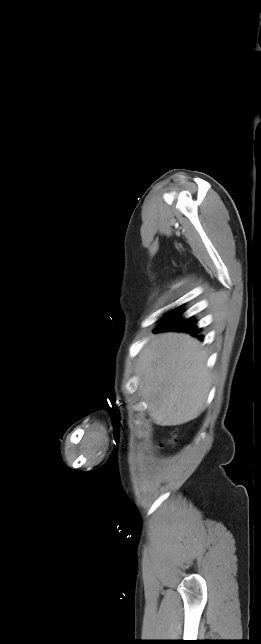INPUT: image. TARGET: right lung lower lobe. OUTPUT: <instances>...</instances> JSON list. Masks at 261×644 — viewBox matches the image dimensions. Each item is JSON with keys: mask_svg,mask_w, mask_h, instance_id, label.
Returning a JSON list of instances; mask_svg holds the SVG:
<instances>
[{"mask_svg": "<svg viewBox=\"0 0 261 644\" xmlns=\"http://www.w3.org/2000/svg\"><path fill=\"white\" fill-rule=\"evenodd\" d=\"M182 312L176 314L172 318L166 320L162 325H160L156 331H178V332H187L191 335H197L198 329L196 326V321L193 318L182 319L180 318ZM202 339L201 336L198 337Z\"/></svg>", "mask_w": 261, "mask_h": 644, "instance_id": "obj_1", "label": "right lung lower lobe"}]
</instances>
